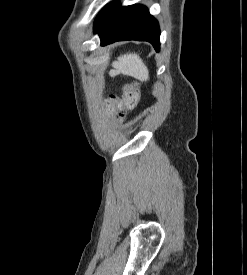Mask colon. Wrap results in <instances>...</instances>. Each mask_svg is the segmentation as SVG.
Masks as SVG:
<instances>
[{"instance_id":"5ec220e1","label":"colon","mask_w":247,"mask_h":275,"mask_svg":"<svg viewBox=\"0 0 247 275\" xmlns=\"http://www.w3.org/2000/svg\"><path fill=\"white\" fill-rule=\"evenodd\" d=\"M140 100L139 87L136 83L127 84L123 89V97L110 95L106 99L108 114L113 119L123 120L128 112L133 111Z\"/></svg>"}]
</instances>
